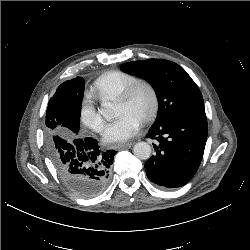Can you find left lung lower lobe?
I'll return each instance as SVG.
<instances>
[{
	"label": "left lung lower lobe",
	"mask_w": 250,
	"mask_h": 250,
	"mask_svg": "<svg viewBox=\"0 0 250 250\" xmlns=\"http://www.w3.org/2000/svg\"><path fill=\"white\" fill-rule=\"evenodd\" d=\"M207 132L204 110L187 112L153 125L147 137L158 143L153 144L156 155L145 163L149 180L168 189L187 184L201 163Z\"/></svg>",
	"instance_id": "left-lung-lower-lobe-1"
}]
</instances>
